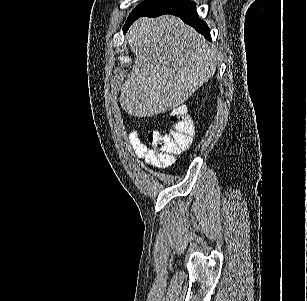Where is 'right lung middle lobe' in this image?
Listing matches in <instances>:
<instances>
[{"mask_svg":"<svg viewBox=\"0 0 307 301\" xmlns=\"http://www.w3.org/2000/svg\"><path fill=\"white\" fill-rule=\"evenodd\" d=\"M161 0H145L141 4H139L129 15V18L127 19L126 25L124 26V32L129 28V26L138 18L140 17L144 12L149 10L151 7L159 3Z\"/></svg>","mask_w":307,"mask_h":301,"instance_id":"1","label":"right lung middle lobe"}]
</instances>
